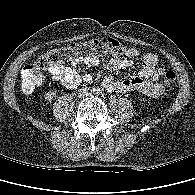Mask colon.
I'll return each instance as SVG.
<instances>
[{
    "label": "colon",
    "mask_w": 195,
    "mask_h": 195,
    "mask_svg": "<svg viewBox=\"0 0 195 195\" xmlns=\"http://www.w3.org/2000/svg\"><path fill=\"white\" fill-rule=\"evenodd\" d=\"M127 49L116 39L108 38L106 40H89L84 43H75L65 47L51 50L33 63L27 64L21 71V87L25 93H31L43 82L41 70H47L52 66L74 59L80 55L95 56L112 54L125 56ZM176 81V75L168 70L164 73V82L168 86H173Z\"/></svg>",
    "instance_id": "obj_1"
}]
</instances>
